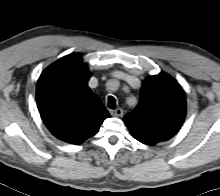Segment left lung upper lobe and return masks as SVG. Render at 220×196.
<instances>
[{"label": "left lung upper lobe", "mask_w": 220, "mask_h": 196, "mask_svg": "<svg viewBox=\"0 0 220 196\" xmlns=\"http://www.w3.org/2000/svg\"><path fill=\"white\" fill-rule=\"evenodd\" d=\"M186 116L185 93L168 74L159 73L143 81L140 102L124 116L132 136L154 146L171 139Z\"/></svg>", "instance_id": "5c2ea615"}]
</instances>
